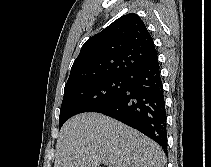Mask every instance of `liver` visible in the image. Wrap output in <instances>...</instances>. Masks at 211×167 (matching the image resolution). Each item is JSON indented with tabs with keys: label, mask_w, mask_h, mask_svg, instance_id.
<instances>
[{
	"label": "liver",
	"mask_w": 211,
	"mask_h": 167,
	"mask_svg": "<svg viewBox=\"0 0 211 167\" xmlns=\"http://www.w3.org/2000/svg\"><path fill=\"white\" fill-rule=\"evenodd\" d=\"M164 167L165 154L137 130L99 113H82L62 127L54 167Z\"/></svg>",
	"instance_id": "1"
}]
</instances>
